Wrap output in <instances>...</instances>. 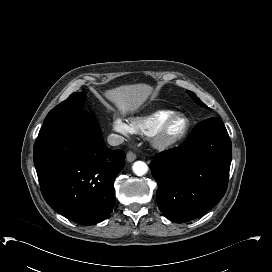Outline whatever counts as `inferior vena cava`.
<instances>
[{"instance_id": "inferior-vena-cava-1", "label": "inferior vena cava", "mask_w": 272, "mask_h": 272, "mask_svg": "<svg viewBox=\"0 0 272 272\" xmlns=\"http://www.w3.org/2000/svg\"><path fill=\"white\" fill-rule=\"evenodd\" d=\"M107 142L111 146H118L124 142V138L118 134H110L107 137Z\"/></svg>"}]
</instances>
